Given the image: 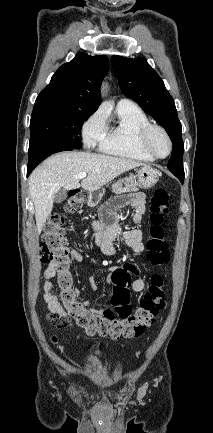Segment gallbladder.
<instances>
[{"mask_svg":"<svg viewBox=\"0 0 213 433\" xmlns=\"http://www.w3.org/2000/svg\"><path fill=\"white\" fill-rule=\"evenodd\" d=\"M67 197V192L65 189H60L54 196L55 203L63 202Z\"/></svg>","mask_w":213,"mask_h":433,"instance_id":"obj_1","label":"gallbladder"}]
</instances>
